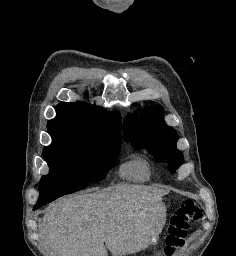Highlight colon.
<instances>
[{
  "instance_id": "1",
  "label": "colon",
  "mask_w": 236,
  "mask_h": 256,
  "mask_svg": "<svg viewBox=\"0 0 236 256\" xmlns=\"http://www.w3.org/2000/svg\"><path fill=\"white\" fill-rule=\"evenodd\" d=\"M202 209L195 200H185L170 216L165 241V256H177L185 245L190 222L202 220Z\"/></svg>"
}]
</instances>
